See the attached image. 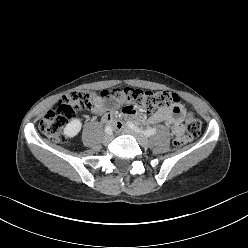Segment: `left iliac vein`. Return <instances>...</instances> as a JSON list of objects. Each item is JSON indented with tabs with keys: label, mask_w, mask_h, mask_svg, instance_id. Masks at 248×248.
<instances>
[{
	"label": "left iliac vein",
	"mask_w": 248,
	"mask_h": 248,
	"mask_svg": "<svg viewBox=\"0 0 248 248\" xmlns=\"http://www.w3.org/2000/svg\"><path fill=\"white\" fill-rule=\"evenodd\" d=\"M123 133L134 136L142 147H147L149 144L148 138L146 136L131 128H124Z\"/></svg>",
	"instance_id": "1"
}]
</instances>
